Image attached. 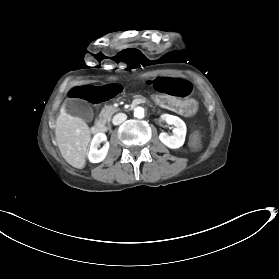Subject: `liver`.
<instances>
[{
    "label": "liver",
    "mask_w": 279,
    "mask_h": 279,
    "mask_svg": "<svg viewBox=\"0 0 279 279\" xmlns=\"http://www.w3.org/2000/svg\"><path fill=\"white\" fill-rule=\"evenodd\" d=\"M59 112L55 126L57 146L68 164L81 169L85 164L87 146L91 138L89 126L81 118L68 114L65 102Z\"/></svg>",
    "instance_id": "6515ba94"
}]
</instances>
